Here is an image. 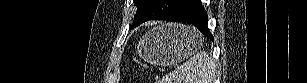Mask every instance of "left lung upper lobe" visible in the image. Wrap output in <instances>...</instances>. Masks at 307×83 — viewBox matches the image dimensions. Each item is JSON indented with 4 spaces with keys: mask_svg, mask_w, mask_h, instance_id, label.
Masks as SVG:
<instances>
[{
    "mask_svg": "<svg viewBox=\"0 0 307 83\" xmlns=\"http://www.w3.org/2000/svg\"><path fill=\"white\" fill-rule=\"evenodd\" d=\"M175 0H134L138 8L132 27L147 20L163 19Z\"/></svg>",
    "mask_w": 307,
    "mask_h": 83,
    "instance_id": "left-lung-upper-lobe-1",
    "label": "left lung upper lobe"
}]
</instances>
